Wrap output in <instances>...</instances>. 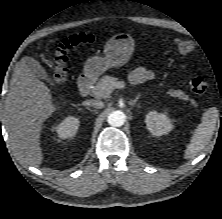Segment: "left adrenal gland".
I'll list each match as a JSON object with an SVG mask.
<instances>
[{
    "label": "left adrenal gland",
    "mask_w": 222,
    "mask_h": 219,
    "mask_svg": "<svg viewBox=\"0 0 222 219\" xmlns=\"http://www.w3.org/2000/svg\"><path fill=\"white\" fill-rule=\"evenodd\" d=\"M139 97H140V94H138L137 96H136V98L135 99H133V100H130L128 103H129V105H131V106H135L136 105V103H137V101H138V99H139Z\"/></svg>",
    "instance_id": "left-adrenal-gland-1"
}]
</instances>
